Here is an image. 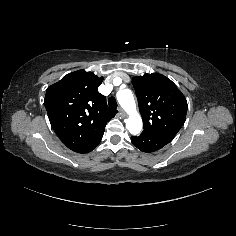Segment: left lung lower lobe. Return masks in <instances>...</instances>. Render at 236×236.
<instances>
[{
	"mask_svg": "<svg viewBox=\"0 0 236 236\" xmlns=\"http://www.w3.org/2000/svg\"><path fill=\"white\" fill-rule=\"evenodd\" d=\"M173 138L163 135H149L141 133L140 136H132V143L143 152H154L171 142Z\"/></svg>",
	"mask_w": 236,
	"mask_h": 236,
	"instance_id": "obj_1",
	"label": "left lung lower lobe"
}]
</instances>
